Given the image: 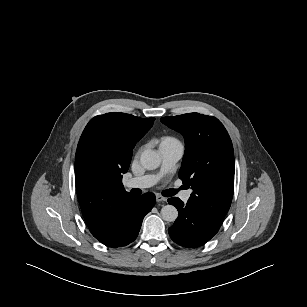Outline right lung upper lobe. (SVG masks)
<instances>
[{"label":"right lung upper lobe","instance_id":"1","mask_svg":"<svg viewBox=\"0 0 307 307\" xmlns=\"http://www.w3.org/2000/svg\"><path fill=\"white\" fill-rule=\"evenodd\" d=\"M154 118L106 113L85 127L75 155L77 196L83 217L100 242L111 238L136 196L125 191L122 175L132 149L150 130Z\"/></svg>","mask_w":307,"mask_h":307}]
</instances>
